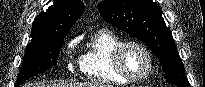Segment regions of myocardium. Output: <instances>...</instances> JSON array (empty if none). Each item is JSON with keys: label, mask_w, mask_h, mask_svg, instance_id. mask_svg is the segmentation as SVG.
Wrapping results in <instances>:
<instances>
[{"label": "myocardium", "mask_w": 205, "mask_h": 87, "mask_svg": "<svg viewBox=\"0 0 205 87\" xmlns=\"http://www.w3.org/2000/svg\"><path fill=\"white\" fill-rule=\"evenodd\" d=\"M129 46H136L140 48L146 54L148 58L149 67H148L147 72L142 76H138V77L132 76L123 67L122 56H123L125 49ZM111 60H112V65H113L114 70L117 72V74L121 78L125 79L127 82H131V83L143 82L147 80L154 71L155 62H154V57H153L152 52L145 44H143L142 42L136 41V40L122 41L113 51Z\"/></svg>", "instance_id": "f54148a6"}]
</instances>
